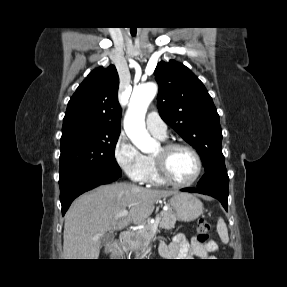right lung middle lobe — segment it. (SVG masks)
I'll list each match as a JSON object with an SVG mask.
<instances>
[{"label":"right lung middle lobe","instance_id":"right-lung-middle-lobe-1","mask_svg":"<svg viewBox=\"0 0 287 287\" xmlns=\"http://www.w3.org/2000/svg\"><path fill=\"white\" fill-rule=\"evenodd\" d=\"M119 134L120 131L99 130L90 125L62 130L60 178L80 171L121 176L114 155Z\"/></svg>","mask_w":287,"mask_h":287}]
</instances>
